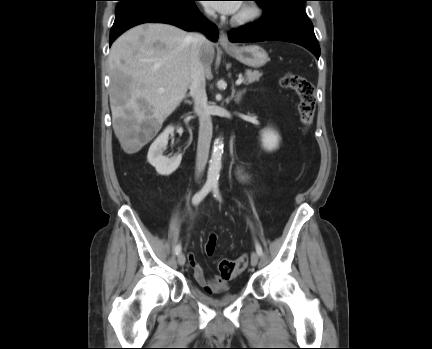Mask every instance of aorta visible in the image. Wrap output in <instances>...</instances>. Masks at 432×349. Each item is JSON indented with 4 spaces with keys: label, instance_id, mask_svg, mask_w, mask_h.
Wrapping results in <instances>:
<instances>
[{
    "label": "aorta",
    "instance_id": "obj_1",
    "mask_svg": "<svg viewBox=\"0 0 432 349\" xmlns=\"http://www.w3.org/2000/svg\"><path fill=\"white\" fill-rule=\"evenodd\" d=\"M222 154H223V141L221 138L215 140L211 159L209 161V168L207 173V180L210 182H217L222 167Z\"/></svg>",
    "mask_w": 432,
    "mask_h": 349
}]
</instances>
